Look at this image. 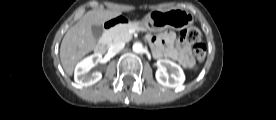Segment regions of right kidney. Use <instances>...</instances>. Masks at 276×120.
Instances as JSON below:
<instances>
[{"instance_id":"1","label":"right kidney","mask_w":276,"mask_h":120,"mask_svg":"<svg viewBox=\"0 0 276 120\" xmlns=\"http://www.w3.org/2000/svg\"><path fill=\"white\" fill-rule=\"evenodd\" d=\"M101 58V54H93L80 61L74 71L75 82L80 86H90L101 80L102 74L100 72H94L91 75L88 74L94 64L100 62Z\"/></svg>"}]
</instances>
